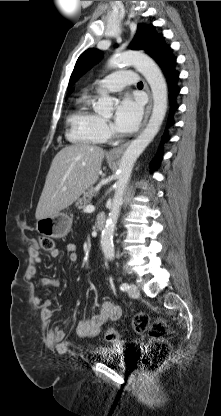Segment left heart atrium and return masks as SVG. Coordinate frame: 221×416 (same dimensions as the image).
<instances>
[{
	"label": "left heart atrium",
	"instance_id": "39dd6f15",
	"mask_svg": "<svg viewBox=\"0 0 221 416\" xmlns=\"http://www.w3.org/2000/svg\"><path fill=\"white\" fill-rule=\"evenodd\" d=\"M142 117V105L138 100L126 96L119 102L115 117L114 130L120 134H128L136 130Z\"/></svg>",
	"mask_w": 221,
	"mask_h": 416
}]
</instances>
